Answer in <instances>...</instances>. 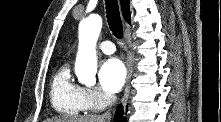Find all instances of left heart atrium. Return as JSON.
Instances as JSON below:
<instances>
[{"label": "left heart atrium", "mask_w": 221, "mask_h": 122, "mask_svg": "<svg viewBox=\"0 0 221 122\" xmlns=\"http://www.w3.org/2000/svg\"><path fill=\"white\" fill-rule=\"evenodd\" d=\"M126 79V68L118 58L106 59L99 70V83L101 88L114 94L120 91Z\"/></svg>", "instance_id": "39dd6f15"}]
</instances>
